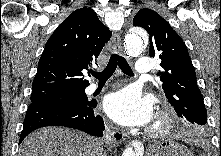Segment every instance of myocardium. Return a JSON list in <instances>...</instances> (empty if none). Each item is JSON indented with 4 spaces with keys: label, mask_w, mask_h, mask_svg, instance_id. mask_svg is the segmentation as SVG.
<instances>
[{
    "label": "myocardium",
    "mask_w": 221,
    "mask_h": 156,
    "mask_svg": "<svg viewBox=\"0 0 221 156\" xmlns=\"http://www.w3.org/2000/svg\"><path fill=\"white\" fill-rule=\"evenodd\" d=\"M173 125V118L167 111H160L154 123L148 130V135L152 138H158L166 135Z\"/></svg>",
    "instance_id": "1"
}]
</instances>
